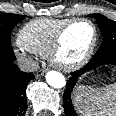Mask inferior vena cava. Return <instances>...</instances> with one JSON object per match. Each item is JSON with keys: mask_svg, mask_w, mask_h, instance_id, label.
<instances>
[{"mask_svg": "<svg viewBox=\"0 0 116 116\" xmlns=\"http://www.w3.org/2000/svg\"><path fill=\"white\" fill-rule=\"evenodd\" d=\"M20 70L25 72H34L39 68V64L30 58L21 57L18 59Z\"/></svg>", "mask_w": 116, "mask_h": 116, "instance_id": "inferior-vena-cava-1", "label": "inferior vena cava"}]
</instances>
